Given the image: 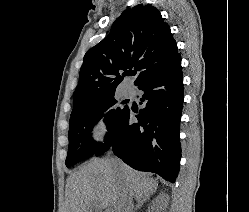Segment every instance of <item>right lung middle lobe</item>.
Instances as JSON below:
<instances>
[{
	"instance_id": "1",
	"label": "right lung middle lobe",
	"mask_w": 249,
	"mask_h": 212,
	"mask_svg": "<svg viewBox=\"0 0 249 212\" xmlns=\"http://www.w3.org/2000/svg\"><path fill=\"white\" fill-rule=\"evenodd\" d=\"M114 95L90 105L72 110L69 126V147L66 166L72 165L96 155L102 144L91 138L93 126L104 117L107 129L110 130L124 115L128 106L116 107ZM108 135V133H107ZM106 135V137H107Z\"/></svg>"
}]
</instances>
